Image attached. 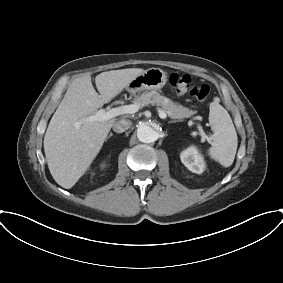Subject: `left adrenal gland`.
<instances>
[{"instance_id":"left-adrenal-gland-1","label":"left adrenal gland","mask_w":283,"mask_h":283,"mask_svg":"<svg viewBox=\"0 0 283 283\" xmlns=\"http://www.w3.org/2000/svg\"><path fill=\"white\" fill-rule=\"evenodd\" d=\"M176 122H178V121H168L169 124H170V123H176Z\"/></svg>"}]
</instances>
